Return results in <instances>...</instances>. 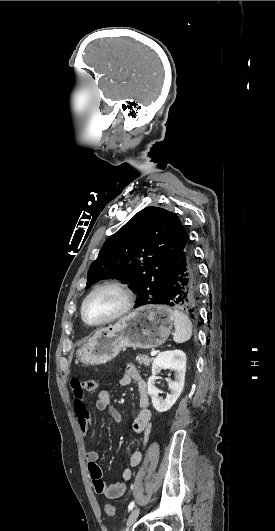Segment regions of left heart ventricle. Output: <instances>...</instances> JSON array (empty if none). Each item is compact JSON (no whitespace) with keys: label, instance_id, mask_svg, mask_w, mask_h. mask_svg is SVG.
<instances>
[{"label":"left heart ventricle","instance_id":"1","mask_svg":"<svg viewBox=\"0 0 275 531\" xmlns=\"http://www.w3.org/2000/svg\"><path fill=\"white\" fill-rule=\"evenodd\" d=\"M122 297L115 290H104L92 296L84 306V316L89 322H97L111 316L122 306Z\"/></svg>","mask_w":275,"mask_h":531}]
</instances>
